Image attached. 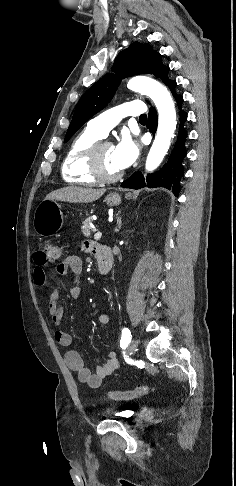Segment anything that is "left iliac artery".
<instances>
[{
    "label": "left iliac artery",
    "mask_w": 236,
    "mask_h": 486,
    "mask_svg": "<svg viewBox=\"0 0 236 486\" xmlns=\"http://www.w3.org/2000/svg\"><path fill=\"white\" fill-rule=\"evenodd\" d=\"M131 337L132 336L130 330L127 327L123 328L120 346L122 348H125L131 342Z\"/></svg>",
    "instance_id": "left-iliac-artery-1"
}]
</instances>
